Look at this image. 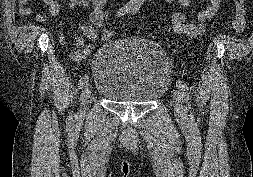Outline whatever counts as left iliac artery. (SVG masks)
<instances>
[{
  "instance_id": "44dca946",
  "label": "left iliac artery",
  "mask_w": 253,
  "mask_h": 177,
  "mask_svg": "<svg viewBox=\"0 0 253 177\" xmlns=\"http://www.w3.org/2000/svg\"><path fill=\"white\" fill-rule=\"evenodd\" d=\"M135 10H132V12H134ZM176 86L178 87L179 91H180V95L182 96V98L184 99V102L187 104L188 107H186V110H190L191 109V104H190V95L188 92V87L186 86V84L182 81V80H177L176 81ZM190 119L192 121V125L194 123V116L192 114V112L190 111Z\"/></svg>"
}]
</instances>
